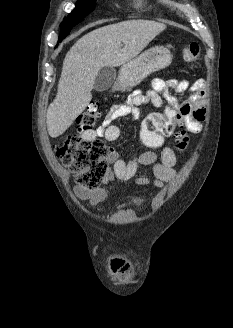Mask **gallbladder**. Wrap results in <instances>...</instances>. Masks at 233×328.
Instances as JSON below:
<instances>
[{"label": "gallbladder", "mask_w": 233, "mask_h": 328, "mask_svg": "<svg viewBox=\"0 0 233 328\" xmlns=\"http://www.w3.org/2000/svg\"><path fill=\"white\" fill-rule=\"evenodd\" d=\"M116 78V71L113 67L105 66L97 74L93 89L96 91H105L111 87Z\"/></svg>", "instance_id": "obj_1"}]
</instances>
